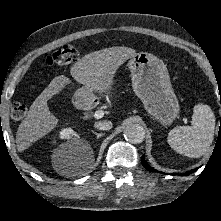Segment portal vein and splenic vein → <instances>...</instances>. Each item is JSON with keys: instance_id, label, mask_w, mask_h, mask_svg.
Masks as SVG:
<instances>
[{"instance_id": "1", "label": "portal vein and splenic vein", "mask_w": 221, "mask_h": 221, "mask_svg": "<svg viewBox=\"0 0 221 221\" xmlns=\"http://www.w3.org/2000/svg\"><path fill=\"white\" fill-rule=\"evenodd\" d=\"M93 116H94L95 119H100L104 116V112L102 110H98L94 113Z\"/></svg>"}]
</instances>
